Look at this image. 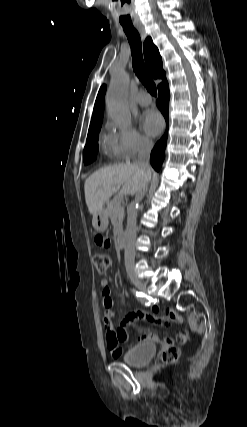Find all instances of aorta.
<instances>
[{
  "label": "aorta",
  "mask_w": 247,
  "mask_h": 427,
  "mask_svg": "<svg viewBox=\"0 0 247 427\" xmlns=\"http://www.w3.org/2000/svg\"><path fill=\"white\" fill-rule=\"evenodd\" d=\"M129 81V74L127 72L117 71L112 78L106 94L108 116L114 122L124 126L131 124V113L127 106Z\"/></svg>",
  "instance_id": "762f6f07"
}]
</instances>
